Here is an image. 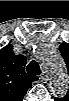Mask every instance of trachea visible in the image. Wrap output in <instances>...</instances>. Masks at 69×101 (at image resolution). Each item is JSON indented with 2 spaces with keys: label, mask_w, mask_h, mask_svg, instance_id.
<instances>
[{
  "label": "trachea",
  "mask_w": 69,
  "mask_h": 101,
  "mask_svg": "<svg viewBox=\"0 0 69 101\" xmlns=\"http://www.w3.org/2000/svg\"><path fill=\"white\" fill-rule=\"evenodd\" d=\"M27 72L28 74L39 75L41 73L39 64L35 60H32L27 66Z\"/></svg>",
  "instance_id": "3493384b"
}]
</instances>
